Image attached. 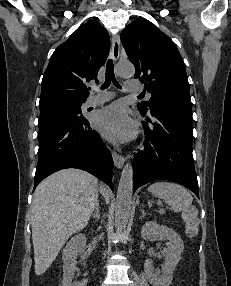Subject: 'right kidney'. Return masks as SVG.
Segmentation results:
<instances>
[{
	"mask_svg": "<svg viewBox=\"0 0 231 286\" xmlns=\"http://www.w3.org/2000/svg\"><path fill=\"white\" fill-rule=\"evenodd\" d=\"M86 246V237L84 234L75 235L67 243L63 250V280L62 286H87V279L80 282H73L74 272L77 267V256L82 254Z\"/></svg>",
	"mask_w": 231,
	"mask_h": 286,
	"instance_id": "obj_1",
	"label": "right kidney"
}]
</instances>
